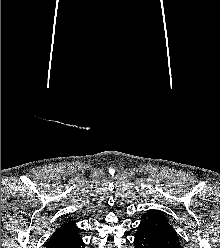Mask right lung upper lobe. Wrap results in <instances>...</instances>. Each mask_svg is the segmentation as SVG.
Listing matches in <instances>:
<instances>
[{"label": "right lung upper lobe", "mask_w": 220, "mask_h": 248, "mask_svg": "<svg viewBox=\"0 0 220 248\" xmlns=\"http://www.w3.org/2000/svg\"><path fill=\"white\" fill-rule=\"evenodd\" d=\"M79 228L75 225V221L63 224L50 237L46 244V248H57L64 243L79 237Z\"/></svg>", "instance_id": "1"}]
</instances>
